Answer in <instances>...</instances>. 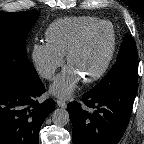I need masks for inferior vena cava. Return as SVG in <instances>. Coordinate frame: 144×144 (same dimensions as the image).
I'll return each mask as SVG.
<instances>
[{
	"label": "inferior vena cava",
	"instance_id": "1",
	"mask_svg": "<svg viewBox=\"0 0 144 144\" xmlns=\"http://www.w3.org/2000/svg\"><path fill=\"white\" fill-rule=\"evenodd\" d=\"M47 76H48V77H51V76H52V73H50V72L47 73Z\"/></svg>",
	"mask_w": 144,
	"mask_h": 144
}]
</instances>
